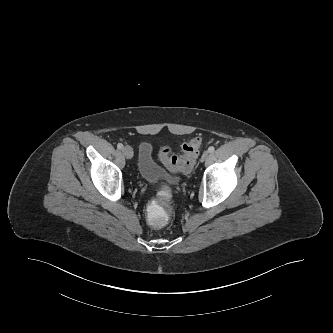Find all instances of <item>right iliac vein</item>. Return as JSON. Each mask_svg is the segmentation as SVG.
<instances>
[{
    "label": "right iliac vein",
    "mask_w": 333,
    "mask_h": 333,
    "mask_svg": "<svg viewBox=\"0 0 333 333\" xmlns=\"http://www.w3.org/2000/svg\"><path fill=\"white\" fill-rule=\"evenodd\" d=\"M122 152L127 159H131L133 157V149L130 146H125L122 149Z\"/></svg>",
    "instance_id": "right-iliac-vein-1"
}]
</instances>
